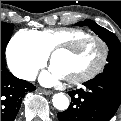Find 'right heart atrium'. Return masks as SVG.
Masks as SVG:
<instances>
[{
  "label": "right heart atrium",
  "instance_id": "obj_1",
  "mask_svg": "<svg viewBox=\"0 0 121 121\" xmlns=\"http://www.w3.org/2000/svg\"><path fill=\"white\" fill-rule=\"evenodd\" d=\"M7 62L11 70L22 78H32L46 62V55L30 39L16 34L9 42Z\"/></svg>",
  "mask_w": 121,
  "mask_h": 121
}]
</instances>
